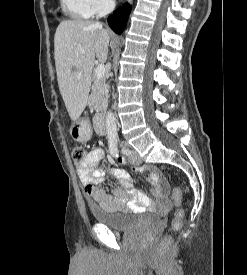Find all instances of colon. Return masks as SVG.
<instances>
[{"label":"colon","instance_id":"1","mask_svg":"<svg viewBox=\"0 0 247 275\" xmlns=\"http://www.w3.org/2000/svg\"><path fill=\"white\" fill-rule=\"evenodd\" d=\"M86 157V150L82 146H75L72 151V158L73 160L79 164L81 163ZM86 191L88 193L92 192V186L86 187ZM181 190L179 188H175L173 190V201L178 206V208L175 211L174 218L171 221V230L172 231H178L182 227L183 224V218L185 216V210L179 206L181 203ZM170 244V239L165 238L163 240V247L166 248Z\"/></svg>","mask_w":247,"mask_h":275}]
</instances>
